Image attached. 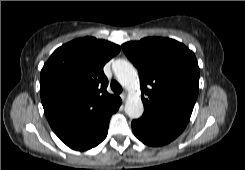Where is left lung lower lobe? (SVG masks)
<instances>
[{"label": "left lung lower lobe", "instance_id": "left-lung-lower-lobe-1", "mask_svg": "<svg viewBox=\"0 0 245 170\" xmlns=\"http://www.w3.org/2000/svg\"><path fill=\"white\" fill-rule=\"evenodd\" d=\"M187 121L145 109L143 116L132 121L135 136L149 146H162L174 140L186 127Z\"/></svg>", "mask_w": 245, "mask_h": 170}]
</instances>
